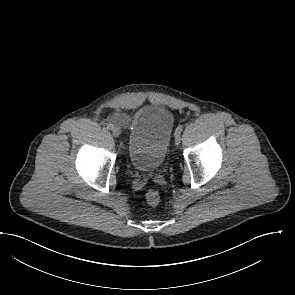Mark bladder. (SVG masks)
<instances>
[{"label": "bladder", "instance_id": "bladder-1", "mask_svg": "<svg viewBox=\"0 0 295 295\" xmlns=\"http://www.w3.org/2000/svg\"><path fill=\"white\" fill-rule=\"evenodd\" d=\"M173 115L164 106L149 104L137 111L128 134V157L140 171L158 170L167 155Z\"/></svg>", "mask_w": 295, "mask_h": 295}]
</instances>
